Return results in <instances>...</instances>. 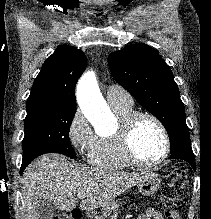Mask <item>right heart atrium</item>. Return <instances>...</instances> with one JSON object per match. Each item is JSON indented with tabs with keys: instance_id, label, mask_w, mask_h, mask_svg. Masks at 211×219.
Returning <instances> with one entry per match:
<instances>
[{
	"instance_id": "1",
	"label": "right heart atrium",
	"mask_w": 211,
	"mask_h": 219,
	"mask_svg": "<svg viewBox=\"0 0 211 219\" xmlns=\"http://www.w3.org/2000/svg\"><path fill=\"white\" fill-rule=\"evenodd\" d=\"M67 138L74 150L83 155H88L96 141V135L79 110L74 112L68 124Z\"/></svg>"
}]
</instances>
